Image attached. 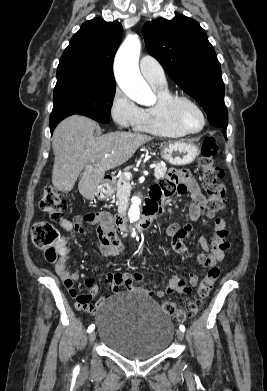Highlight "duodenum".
<instances>
[{"label": "duodenum", "mask_w": 267, "mask_h": 391, "mask_svg": "<svg viewBox=\"0 0 267 391\" xmlns=\"http://www.w3.org/2000/svg\"><path fill=\"white\" fill-rule=\"evenodd\" d=\"M157 207L154 203L150 202L144 209V215L134 224L139 230L147 231L152 224L153 215L155 214ZM114 225L118 231H125L129 227L128 218L123 212H119L114 218Z\"/></svg>", "instance_id": "obj_1"}]
</instances>
